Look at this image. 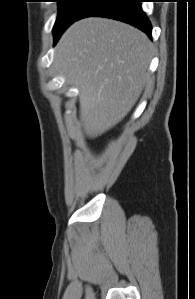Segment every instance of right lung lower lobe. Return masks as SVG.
<instances>
[{
	"instance_id": "obj_1",
	"label": "right lung lower lobe",
	"mask_w": 195,
	"mask_h": 299,
	"mask_svg": "<svg viewBox=\"0 0 195 299\" xmlns=\"http://www.w3.org/2000/svg\"><path fill=\"white\" fill-rule=\"evenodd\" d=\"M140 2L141 0H93L76 20L90 16L116 19L137 27L151 37L152 26L142 11Z\"/></svg>"
}]
</instances>
